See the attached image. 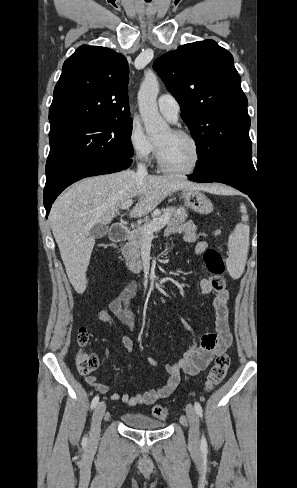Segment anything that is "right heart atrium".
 <instances>
[{"instance_id": "right-heart-atrium-1", "label": "right heart atrium", "mask_w": 297, "mask_h": 488, "mask_svg": "<svg viewBox=\"0 0 297 488\" xmlns=\"http://www.w3.org/2000/svg\"><path fill=\"white\" fill-rule=\"evenodd\" d=\"M128 143L133 154L141 161H149L156 151V144L147 136L139 119L131 122Z\"/></svg>"}]
</instances>
